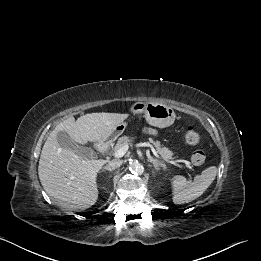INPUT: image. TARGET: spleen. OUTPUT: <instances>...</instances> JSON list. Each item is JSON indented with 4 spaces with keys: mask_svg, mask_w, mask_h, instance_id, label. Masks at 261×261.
Segmentation results:
<instances>
[{
    "mask_svg": "<svg viewBox=\"0 0 261 261\" xmlns=\"http://www.w3.org/2000/svg\"><path fill=\"white\" fill-rule=\"evenodd\" d=\"M217 171L215 166H211L202 171L200 175L195 176L193 181H187L180 175L174 176L172 178L173 202L184 204L200 197L214 181Z\"/></svg>",
    "mask_w": 261,
    "mask_h": 261,
    "instance_id": "spleen-1",
    "label": "spleen"
}]
</instances>
